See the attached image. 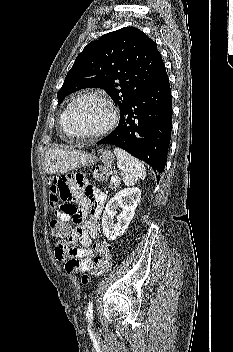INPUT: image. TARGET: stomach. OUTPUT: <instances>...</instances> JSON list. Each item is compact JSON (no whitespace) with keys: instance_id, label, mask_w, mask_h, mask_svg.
I'll return each instance as SVG.
<instances>
[{"instance_id":"0dacf381","label":"stomach","mask_w":233,"mask_h":352,"mask_svg":"<svg viewBox=\"0 0 233 352\" xmlns=\"http://www.w3.org/2000/svg\"><path fill=\"white\" fill-rule=\"evenodd\" d=\"M99 160L96 155L84 151L49 149L45 154L44 163L47 173L56 174L90 166Z\"/></svg>"}]
</instances>
